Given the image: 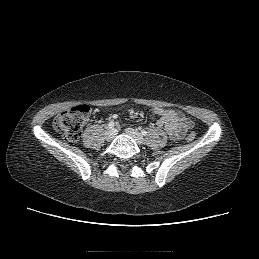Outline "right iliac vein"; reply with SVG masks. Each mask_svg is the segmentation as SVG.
Here are the masks:
<instances>
[{
	"label": "right iliac vein",
	"mask_w": 259,
	"mask_h": 259,
	"mask_svg": "<svg viewBox=\"0 0 259 259\" xmlns=\"http://www.w3.org/2000/svg\"><path fill=\"white\" fill-rule=\"evenodd\" d=\"M116 131L114 129H108L105 132V139L111 141L115 137Z\"/></svg>",
	"instance_id": "obj_1"
}]
</instances>
